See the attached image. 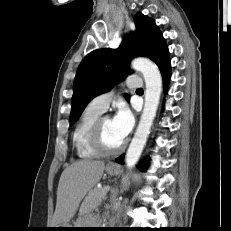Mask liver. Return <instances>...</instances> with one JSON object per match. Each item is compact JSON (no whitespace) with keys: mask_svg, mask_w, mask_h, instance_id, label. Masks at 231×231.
<instances>
[{"mask_svg":"<svg viewBox=\"0 0 231 231\" xmlns=\"http://www.w3.org/2000/svg\"><path fill=\"white\" fill-rule=\"evenodd\" d=\"M105 163L83 159L74 162L61 174L52 227L66 225L74 217L82 199L100 181Z\"/></svg>","mask_w":231,"mask_h":231,"instance_id":"1","label":"liver"}]
</instances>
